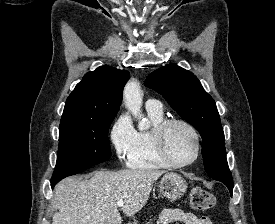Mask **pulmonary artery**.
<instances>
[{
  "mask_svg": "<svg viewBox=\"0 0 275 224\" xmlns=\"http://www.w3.org/2000/svg\"><path fill=\"white\" fill-rule=\"evenodd\" d=\"M146 109L149 110H162V104L160 103V101L156 100V99H148L146 101Z\"/></svg>",
  "mask_w": 275,
  "mask_h": 224,
  "instance_id": "1",
  "label": "pulmonary artery"
}]
</instances>
